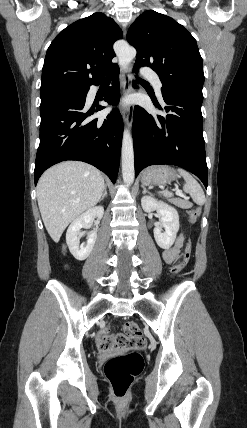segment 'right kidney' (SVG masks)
<instances>
[{
    "instance_id": "obj_1",
    "label": "right kidney",
    "mask_w": 247,
    "mask_h": 428,
    "mask_svg": "<svg viewBox=\"0 0 247 428\" xmlns=\"http://www.w3.org/2000/svg\"><path fill=\"white\" fill-rule=\"evenodd\" d=\"M104 214V208L97 206L89 209L78 218H76L69 226L66 233V243L71 254L79 261L85 260L91 253L97 239V231H90L87 235L86 244L79 246V231L81 228L88 226L95 217L101 219Z\"/></svg>"
}]
</instances>
